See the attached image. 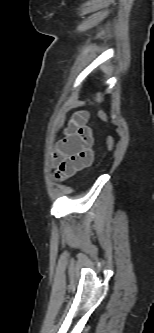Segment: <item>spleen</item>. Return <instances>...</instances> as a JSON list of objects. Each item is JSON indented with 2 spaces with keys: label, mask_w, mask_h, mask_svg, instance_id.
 <instances>
[{
  "label": "spleen",
  "mask_w": 154,
  "mask_h": 333,
  "mask_svg": "<svg viewBox=\"0 0 154 333\" xmlns=\"http://www.w3.org/2000/svg\"><path fill=\"white\" fill-rule=\"evenodd\" d=\"M101 68H102V70H103L104 72H106V73L108 72V67H106V66H102Z\"/></svg>",
  "instance_id": "1"
}]
</instances>
